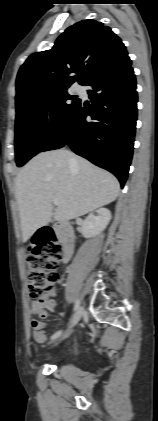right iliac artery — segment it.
<instances>
[{
  "mask_svg": "<svg viewBox=\"0 0 158 421\" xmlns=\"http://www.w3.org/2000/svg\"><path fill=\"white\" fill-rule=\"evenodd\" d=\"M80 305V301L77 299L75 301V305H74V311H76L79 308ZM62 331H58L56 332L54 335L51 336V339H56L61 335Z\"/></svg>",
  "mask_w": 158,
  "mask_h": 421,
  "instance_id": "right-iliac-artery-1",
  "label": "right iliac artery"
}]
</instances>
